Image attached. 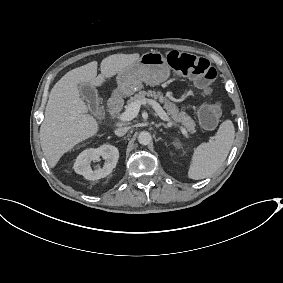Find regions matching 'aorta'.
Listing matches in <instances>:
<instances>
[{
	"instance_id": "aorta-1",
	"label": "aorta",
	"mask_w": 283,
	"mask_h": 283,
	"mask_svg": "<svg viewBox=\"0 0 283 283\" xmlns=\"http://www.w3.org/2000/svg\"><path fill=\"white\" fill-rule=\"evenodd\" d=\"M152 140L151 134L147 131H142L138 136V142L142 145H148Z\"/></svg>"
}]
</instances>
